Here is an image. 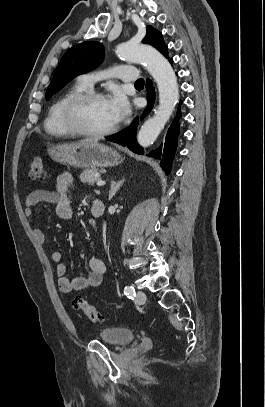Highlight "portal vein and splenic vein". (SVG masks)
<instances>
[{"label": "portal vein and splenic vein", "mask_w": 265, "mask_h": 407, "mask_svg": "<svg viewBox=\"0 0 265 407\" xmlns=\"http://www.w3.org/2000/svg\"><path fill=\"white\" fill-rule=\"evenodd\" d=\"M97 185H98V186H103V185H105V181H103V180H98V181H97Z\"/></svg>", "instance_id": "portal-vein-and-splenic-vein-1"}]
</instances>
